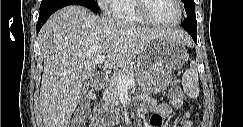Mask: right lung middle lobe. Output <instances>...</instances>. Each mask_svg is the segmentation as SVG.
<instances>
[{
  "label": "right lung middle lobe",
  "mask_w": 243,
  "mask_h": 127,
  "mask_svg": "<svg viewBox=\"0 0 243 127\" xmlns=\"http://www.w3.org/2000/svg\"><path fill=\"white\" fill-rule=\"evenodd\" d=\"M60 0H42L40 7L57 2ZM82 6L87 7L88 9L92 10L93 12L97 13L98 10V5L95 0H73Z\"/></svg>",
  "instance_id": "1"
}]
</instances>
